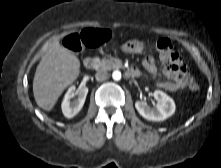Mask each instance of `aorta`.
<instances>
[{
	"mask_svg": "<svg viewBox=\"0 0 221 168\" xmlns=\"http://www.w3.org/2000/svg\"><path fill=\"white\" fill-rule=\"evenodd\" d=\"M112 77L115 81H119L121 79V72L120 71H114L112 74Z\"/></svg>",
	"mask_w": 221,
	"mask_h": 168,
	"instance_id": "762f6f07",
	"label": "aorta"
}]
</instances>
